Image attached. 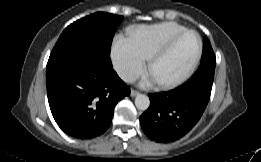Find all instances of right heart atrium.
I'll return each instance as SVG.
<instances>
[{"label":"right heart atrium","instance_id":"1","mask_svg":"<svg viewBox=\"0 0 261 162\" xmlns=\"http://www.w3.org/2000/svg\"><path fill=\"white\" fill-rule=\"evenodd\" d=\"M114 69L124 81H132L144 70L145 61L135 51L128 38L118 37L111 49Z\"/></svg>","mask_w":261,"mask_h":162}]
</instances>
